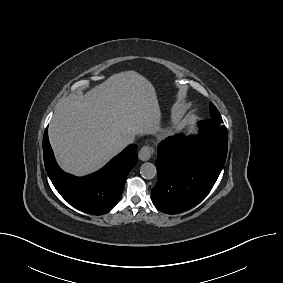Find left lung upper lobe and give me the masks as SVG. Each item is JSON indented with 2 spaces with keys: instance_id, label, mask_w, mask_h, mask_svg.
I'll list each match as a JSON object with an SVG mask.
<instances>
[{
  "instance_id": "obj_1",
  "label": "left lung upper lobe",
  "mask_w": 283,
  "mask_h": 283,
  "mask_svg": "<svg viewBox=\"0 0 283 283\" xmlns=\"http://www.w3.org/2000/svg\"><path fill=\"white\" fill-rule=\"evenodd\" d=\"M210 113H211V119L210 120H212L213 123H215V124L222 125L223 120L221 118V115H220L219 111L217 110V108L214 106V104L211 103V102H210Z\"/></svg>"
}]
</instances>
